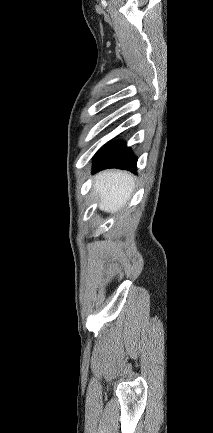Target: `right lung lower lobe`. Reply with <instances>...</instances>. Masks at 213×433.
Wrapping results in <instances>:
<instances>
[{
    "mask_svg": "<svg viewBox=\"0 0 213 433\" xmlns=\"http://www.w3.org/2000/svg\"><path fill=\"white\" fill-rule=\"evenodd\" d=\"M93 173L106 168H120L136 172L137 158L124 142L103 146L94 157Z\"/></svg>",
    "mask_w": 213,
    "mask_h": 433,
    "instance_id": "1",
    "label": "right lung lower lobe"
}]
</instances>
